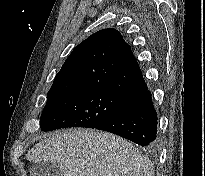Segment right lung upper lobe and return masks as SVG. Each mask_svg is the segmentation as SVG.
Listing matches in <instances>:
<instances>
[{"instance_id":"1","label":"right lung upper lobe","mask_w":205,"mask_h":176,"mask_svg":"<svg viewBox=\"0 0 205 176\" xmlns=\"http://www.w3.org/2000/svg\"><path fill=\"white\" fill-rule=\"evenodd\" d=\"M147 88L130 46L115 29H103L74 48L47 96L103 91L129 98Z\"/></svg>"}]
</instances>
